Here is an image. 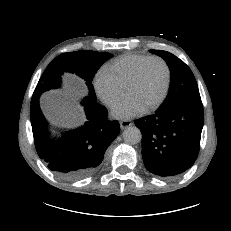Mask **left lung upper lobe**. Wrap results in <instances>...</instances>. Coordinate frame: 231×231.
<instances>
[{
    "label": "left lung upper lobe",
    "mask_w": 231,
    "mask_h": 231,
    "mask_svg": "<svg viewBox=\"0 0 231 231\" xmlns=\"http://www.w3.org/2000/svg\"><path fill=\"white\" fill-rule=\"evenodd\" d=\"M150 52L162 57L170 69L169 94L160 110H169L187 99H201L195 77L182 60L167 51Z\"/></svg>",
    "instance_id": "5c2ea615"
}]
</instances>
